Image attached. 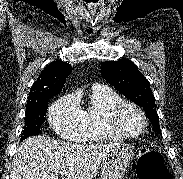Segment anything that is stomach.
I'll list each match as a JSON object with an SVG mask.
<instances>
[{
  "label": "stomach",
  "mask_w": 183,
  "mask_h": 179,
  "mask_svg": "<svg viewBox=\"0 0 183 179\" xmlns=\"http://www.w3.org/2000/svg\"><path fill=\"white\" fill-rule=\"evenodd\" d=\"M133 156L134 152L129 144L116 143L108 150L100 164L99 179H122Z\"/></svg>",
  "instance_id": "obj_1"
}]
</instances>
